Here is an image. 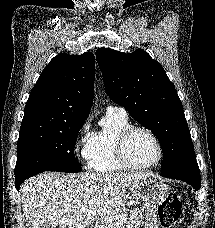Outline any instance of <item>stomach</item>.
<instances>
[{"label":"stomach","mask_w":215,"mask_h":228,"mask_svg":"<svg viewBox=\"0 0 215 228\" xmlns=\"http://www.w3.org/2000/svg\"><path fill=\"white\" fill-rule=\"evenodd\" d=\"M137 202L147 204L145 228H159L157 208L169 196V188L154 178H143L130 188Z\"/></svg>","instance_id":"obj_1"}]
</instances>
